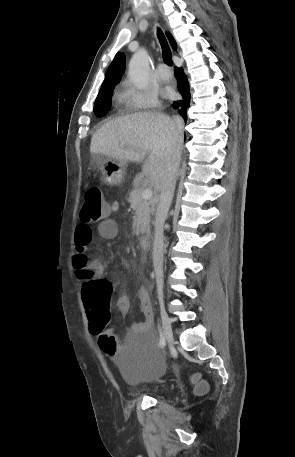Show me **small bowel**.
Masks as SVG:
<instances>
[{
	"instance_id": "c3829d8e",
	"label": "small bowel",
	"mask_w": 295,
	"mask_h": 457,
	"mask_svg": "<svg viewBox=\"0 0 295 457\" xmlns=\"http://www.w3.org/2000/svg\"><path fill=\"white\" fill-rule=\"evenodd\" d=\"M109 215L111 213L118 212L119 203L113 201L108 204ZM109 215L99 223L98 233L99 236L104 240L115 239L118 235V226L114 219L110 218ZM92 241V230L88 226L78 225L75 233V245L77 252H86L88 245ZM89 269L94 274V279L101 280L99 277L103 274L104 265L100 259H94L89 263ZM138 298L140 302L141 311L144 315V320L139 323H135L132 326V332L143 336V338H155L152 330L153 326V310L149 293L145 287H140L138 290ZM117 309L122 315H126L130 311L131 301L127 293L121 294L116 302ZM111 333V332H110Z\"/></svg>"
}]
</instances>
